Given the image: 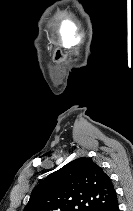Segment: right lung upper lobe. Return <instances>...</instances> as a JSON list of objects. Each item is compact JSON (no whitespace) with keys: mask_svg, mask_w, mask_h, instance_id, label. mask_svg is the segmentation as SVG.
I'll list each match as a JSON object with an SVG mask.
<instances>
[{"mask_svg":"<svg viewBox=\"0 0 133 211\" xmlns=\"http://www.w3.org/2000/svg\"><path fill=\"white\" fill-rule=\"evenodd\" d=\"M116 203L109 176L90 158L81 157L41 181L24 211H108Z\"/></svg>","mask_w":133,"mask_h":211,"instance_id":"obj_1","label":"right lung upper lobe"}]
</instances>
